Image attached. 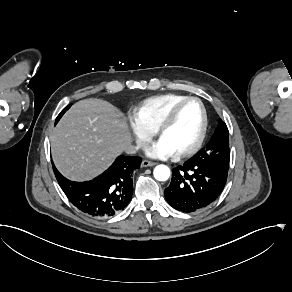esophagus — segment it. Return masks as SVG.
<instances>
[{
  "mask_svg": "<svg viewBox=\"0 0 292 292\" xmlns=\"http://www.w3.org/2000/svg\"><path fill=\"white\" fill-rule=\"evenodd\" d=\"M157 163L148 161V160H143L141 163V167H149V166H155Z\"/></svg>",
  "mask_w": 292,
  "mask_h": 292,
  "instance_id": "34e87169",
  "label": "esophagus"
}]
</instances>
